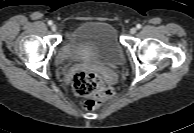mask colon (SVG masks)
I'll list each match as a JSON object with an SVG mask.
<instances>
[{
  "instance_id": "colon-1",
  "label": "colon",
  "mask_w": 194,
  "mask_h": 133,
  "mask_svg": "<svg viewBox=\"0 0 194 133\" xmlns=\"http://www.w3.org/2000/svg\"><path fill=\"white\" fill-rule=\"evenodd\" d=\"M72 87L75 94L87 98L85 106L89 110L98 108L114 96V90L105 86L100 76L94 72H76Z\"/></svg>"
}]
</instances>
